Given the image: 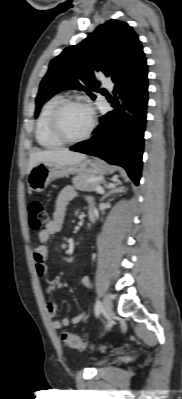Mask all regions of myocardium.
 I'll return each mask as SVG.
<instances>
[{"label":"myocardium","instance_id":"myocardium-1","mask_svg":"<svg viewBox=\"0 0 182 399\" xmlns=\"http://www.w3.org/2000/svg\"><path fill=\"white\" fill-rule=\"evenodd\" d=\"M82 106L87 109L90 117L89 127L86 132L77 138L68 137L61 127V115L63 111L69 106ZM96 121L93 112L88 104L80 99H64L53 110L50 119V127L53 135L63 144H76L87 140L95 129Z\"/></svg>","mask_w":182,"mask_h":399}]
</instances>
